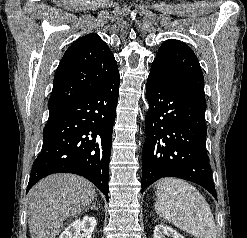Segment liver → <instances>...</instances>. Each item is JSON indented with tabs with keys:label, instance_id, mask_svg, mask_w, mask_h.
Wrapping results in <instances>:
<instances>
[{
	"label": "liver",
	"instance_id": "1",
	"mask_svg": "<svg viewBox=\"0 0 247 238\" xmlns=\"http://www.w3.org/2000/svg\"><path fill=\"white\" fill-rule=\"evenodd\" d=\"M31 238H56L63 221L88 207L95 197L92 183L73 174L50 175L29 193Z\"/></svg>",
	"mask_w": 247,
	"mask_h": 238
}]
</instances>
